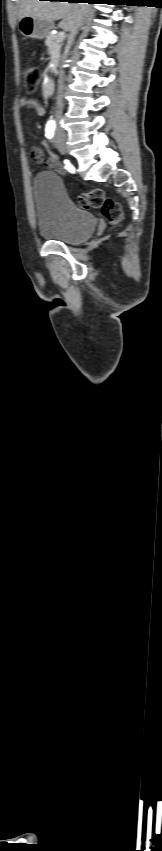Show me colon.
Here are the masks:
<instances>
[{
  "label": "colon",
  "instance_id": "obj_1",
  "mask_svg": "<svg viewBox=\"0 0 162 851\" xmlns=\"http://www.w3.org/2000/svg\"><path fill=\"white\" fill-rule=\"evenodd\" d=\"M39 71L29 67L24 72V81L29 91H34L39 82ZM77 203L82 209H101L103 215L111 222L117 223L122 218L120 205L112 198L106 196L104 190L96 188L83 196L77 198Z\"/></svg>",
  "mask_w": 162,
  "mask_h": 851
}]
</instances>
